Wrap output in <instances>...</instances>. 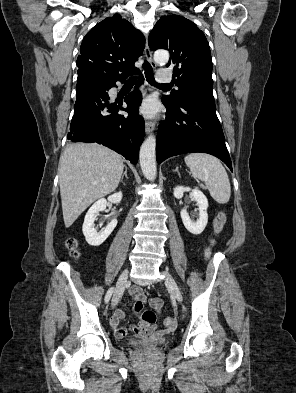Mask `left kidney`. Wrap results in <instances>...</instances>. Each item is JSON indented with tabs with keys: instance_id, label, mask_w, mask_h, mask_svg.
<instances>
[{
	"instance_id": "obj_1",
	"label": "left kidney",
	"mask_w": 296,
	"mask_h": 393,
	"mask_svg": "<svg viewBox=\"0 0 296 393\" xmlns=\"http://www.w3.org/2000/svg\"><path fill=\"white\" fill-rule=\"evenodd\" d=\"M185 191H191V195L194 200L197 202L199 207V218L197 221H192L185 209H182L180 212L183 224L185 228L192 234L198 235L203 232L208 222V200L202 191L199 189H190L189 187L177 186L174 189V197L177 199H181L184 195Z\"/></svg>"
}]
</instances>
